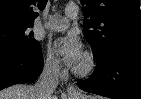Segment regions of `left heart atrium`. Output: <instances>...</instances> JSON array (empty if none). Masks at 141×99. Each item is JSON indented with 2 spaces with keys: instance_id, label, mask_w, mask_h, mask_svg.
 Instances as JSON below:
<instances>
[{
  "instance_id": "obj_1",
  "label": "left heart atrium",
  "mask_w": 141,
  "mask_h": 99,
  "mask_svg": "<svg viewBox=\"0 0 141 99\" xmlns=\"http://www.w3.org/2000/svg\"><path fill=\"white\" fill-rule=\"evenodd\" d=\"M63 61L71 67H77L83 59V46L77 36L66 35L57 41Z\"/></svg>"
}]
</instances>
